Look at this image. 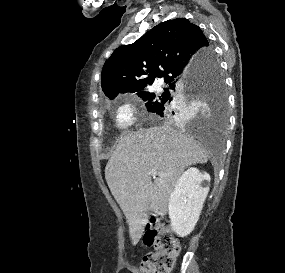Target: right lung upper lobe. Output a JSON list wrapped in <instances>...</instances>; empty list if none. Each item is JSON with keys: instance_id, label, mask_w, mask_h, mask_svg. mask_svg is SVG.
I'll return each mask as SVG.
<instances>
[{"instance_id": "cb5924a9", "label": "right lung upper lobe", "mask_w": 285, "mask_h": 273, "mask_svg": "<svg viewBox=\"0 0 285 273\" xmlns=\"http://www.w3.org/2000/svg\"><path fill=\"white\" fill-rule=\"evenodd\" d=\"M211 52L201 29L189 20L162 22L134 43L114 51L102 71V90L113 99L119 92L140 91L157 78L164 77L169 84ZM144 75L148 76L140 79Z\"/></svg>"}]
</instances>
